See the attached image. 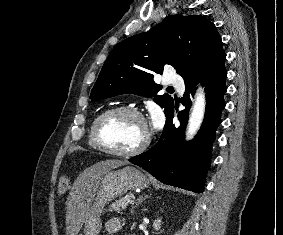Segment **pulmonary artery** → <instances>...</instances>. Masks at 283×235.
Instances as JSON below:
<instances>
[{
  "mask_svg": "<svg viewBox=\"0 0 283 235\" xmlns=\"http://www.w3.org/2000/svg\"><path fill=\"white\" fill-rule=\"evenodd\" d=\"M167 84L174 86L175 88L178 89H183L184 88V84L181 78L178 77H170L167 80Z\"/></svg>",
  "mask_w": 283,
  "mask_h": 235,
  "instance_id": "1",
  "label": "pulmonary artery"
}]
</instances>
